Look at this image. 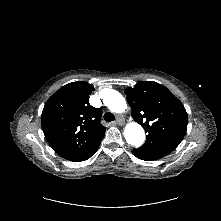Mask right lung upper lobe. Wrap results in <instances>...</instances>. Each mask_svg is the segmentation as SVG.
<instances>
[{"mask_svg":"<svg viewBox=\"0 0 221 221\" xmlns=\"http://www.w3.org/2000/svg\"><path fill=\"white\" fill-rule=\"evenodd\" d=\"M94 87L83 81L66 84L45 103L41 125L50 146L62 158L76 161L103 137L102 110L89 103Z\"/></svg>","mask_w":221,"mask_h":221,"instance_id":"right-lung-upper-lobe-1","label":"right lung upper lobe"}]
</instances>
